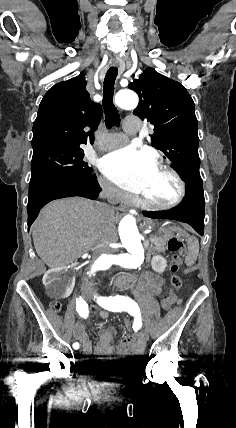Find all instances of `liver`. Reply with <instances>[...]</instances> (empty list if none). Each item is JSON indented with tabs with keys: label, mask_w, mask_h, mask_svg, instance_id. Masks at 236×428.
Returning a JSON list of instances; mask_svg holds the SVG:
<instances>
[{
	"label": "liver",
	"mask_w": 236,
	"mask_h": 428,
	"mask_svg": "<svg viewBox=\"0 0 236 428\" xmlns=\"http://www.w3.org/2000/svg\"><path fill=\"white\" fill-rule=\"evenodd\" d=\"M115 218L104 216L100 204L85 198L54 200L33 224L34 248L49 268H62L99 244L117 242Z\"/></svg>",
	"instance_id": "liver-1"
}]
</instances>
